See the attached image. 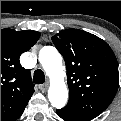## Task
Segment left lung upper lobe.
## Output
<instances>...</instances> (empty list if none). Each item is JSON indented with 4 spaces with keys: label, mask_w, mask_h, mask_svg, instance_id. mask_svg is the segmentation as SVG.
Wrapping results in <instances>:
<instances>
[{
    "label": "left lung upper lobe",
    "mask_w": 121,
    "mask_h": 121,
    "mask_svg": "<svg viewBox=\"0 0 121 121\" xmlns=\"http://www.w3.org/2000/svg\"><path fill=\"white\" fill-rule=\"evenodd\" d=\"M64 57L69 87L64 114L89 121L112 102L119 84L118 64L109 45L99 37L67 29L52 37Z\"/></svg>",
    "instance_id": "obj_1"
}]
</instances>
